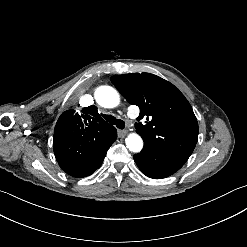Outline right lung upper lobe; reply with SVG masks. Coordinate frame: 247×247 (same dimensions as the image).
Segmentation results:
<instances>
[{
    "label": "right lung upper lobe",
    "mask_w": 247,
    "mask_h": 247,
    "mask_svg": "<svg viewBox=\"0 0 247 247\" xmlns=\"http://www.w3.org/2000/svg\"><path fill=\"white\" fill-rule=\"evenodd\" d=\"M82 114L69 109L61 114L55 129L53 149L60 163H78L108 149L117 138L116 129L91 105Z\"/></svg>",
    "instance_id": "1"
}]
</instances>
